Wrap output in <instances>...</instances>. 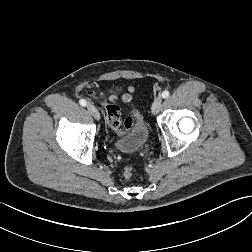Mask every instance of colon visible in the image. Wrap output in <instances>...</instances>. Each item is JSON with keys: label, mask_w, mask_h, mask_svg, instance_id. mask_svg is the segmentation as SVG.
I'll return each mask as SVG.
<instances>
[{"label": "colon", "mask_w": 252, "mask_h": 252, "mask_svg": "<svg viewBox=\"0 0 252 252\" xmlns=\"http://www.w3.org/2000/svg\"><path fill=\"white\" fill-rule=\"evenodd\" d=\"M89 94L93 95V92H89ZM100 102L104 103L106 110V120L109 127L118 135H122L124 131L121 129V116L120 109L118 106L113 104H106L102 99H99ZM131 125L130 118H127L124 122V129H129ZM134 173V166L132 164L126 165L123 170V175L125 178H131Z\"/></svg>", "instance_id": "1"}]
</instances>
